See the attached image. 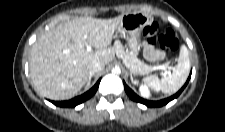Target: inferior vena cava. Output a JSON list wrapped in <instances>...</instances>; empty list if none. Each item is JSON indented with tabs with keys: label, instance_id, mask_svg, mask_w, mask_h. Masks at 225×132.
<instances>
[{
	"label": "inferior vena cava",
	"instance_id": "1",
	"mask_svg": "<svg viewBox=\"0 0 225 132\" xmlns=\"http://www.w3.org/2000/svg\"><path fill=\"white\" fill-rule=\"evenodd\" d=\"M104 64L101 63L100 61L97 60H93L90 64H89V74H95V73H99L104 69Z\"/></svg>",
	"mask_w": 225,
	"mask_h": 132
}]
</instances>
